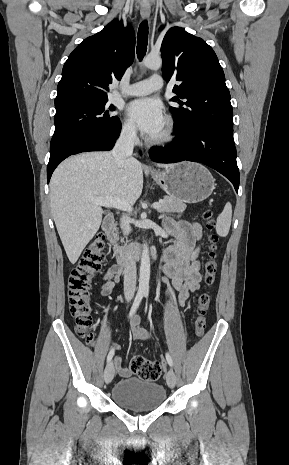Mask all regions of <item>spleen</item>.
<instances>
[{
	"label": "spleen",
	"mask_w": 289,
	"mask_h": 465,
	"mask_svg": "<svg viewBox=\"0 0 289 465\" xmlns=\"http://www.w3.org/2000/svg\"><path fill=\"white\" fill-rule=\"evenodd\" d=\"M231 218L232 206L230 202H227L216 222V232L219 236L226 237L228 235L231 226Z\"/></svg>",
	"instance_id": "3e777b00"
}]
</instances>
